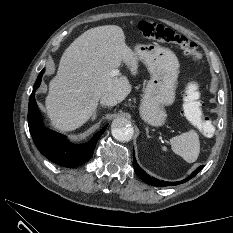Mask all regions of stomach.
Returning a JSON list of instances; mask_svg holds the SVG:
<instances>
[{"mask_svg": "<svg viewBox=\"0 0 233 233\" xmlns=\"http://www.w3.org/2000/svg\"><path fill=\"white\" fill-rule=\"evenodd\" d=\"M134 52L151 75L140 106L141 118L152 126H161L167 117L164 106L175 100L179 61L171 50L158 45L139 44Z\"/></svg>", "mask_w": 233, "mask_h": 233, "instance_id": "1", "label": "stomach"}]
</instances>
